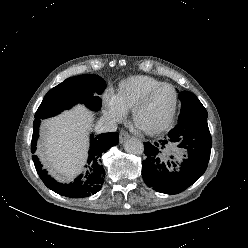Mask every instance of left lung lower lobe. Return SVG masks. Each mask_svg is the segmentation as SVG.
<instances>
[{"label":"left lung lower lobe","mask_w":248,"mask_h":248,"mask_svg":"<svg viewBox=\"0 0 248 248\" xmlns=\"http://www.w3.org/2000/svg\"><path fill=\"white\" fill-rule=\"evenodd\" d=\"M178 143L187 150L188 159L180 167L163 159L162 150L168 143ZM212 138L207 118L178 121V124L159 143H144L146 155L142 177L148 187L165 194H178L194 184L205 172L210 158Z\"/></svg>","instance_id":"left-lung-lower-lobe-1"}]
</instances>
